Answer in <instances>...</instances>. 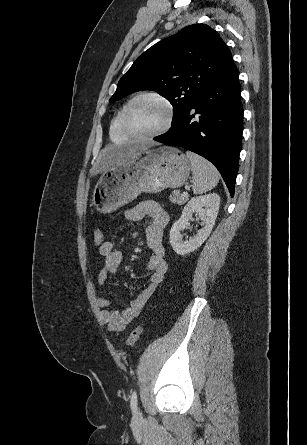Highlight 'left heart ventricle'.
Here are the masks:
<instances>
[{"label": "left heart ventricle", "mask_w": 307, "mask_h": 445, "mask_svg": "<svg viewBox=\"0 0 307 445\" xmlns=\"http://www.w3.org/2000/svg\"><path fill=\"white\" fill-rule=\"evenodd\" d=\"M166 117L165 107L153 99L139 101L131 110V122L138 132H152L159 129Z\"/></svg>", "instance_id": "left-heart-ventricle-1"}]
</instances>
